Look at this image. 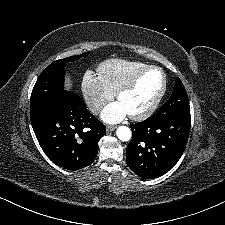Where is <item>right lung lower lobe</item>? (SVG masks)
<instances>
[{
	"instance_id": "1",
	"label": "right lung lower lobe",
	"mask_w": 225,
	"mask_h": 225,
	"mask_svg": "<svg viewBox=\"0 0 225 225\" xmlns=\"http://www.w3.org/2000/svg\"><path fill=\"white\" fill-rule=\"evenodd\" d=\"M37 140L48 158L60 167L78 170L93 162L105 126L75 93L65 91L30 108Z\"/></svg>"
}]
</instances>
